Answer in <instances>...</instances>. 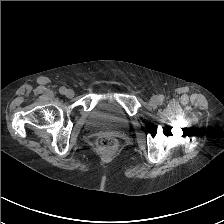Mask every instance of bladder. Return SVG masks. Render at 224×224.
I'll return each instance as SVG.
<instances>
[{"label":"bladder","instance_id":"31cf9c89","mask_svg":"<svg viewBox=\"0 0 224 224\" xmlns=\"http://www.w3.org/2000/svg\"><path fill=\"white\" fill-rule=\"evenodd\" d=\"M112 88L103 89L93 109L88 113L86 128L92 132L123 133L129 128V118L119 105Z\"/></svg>","mask_w":224,"mask_h":224}]
</instances>
